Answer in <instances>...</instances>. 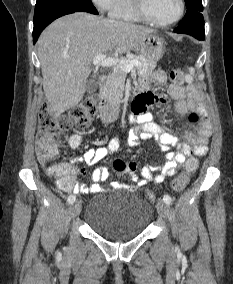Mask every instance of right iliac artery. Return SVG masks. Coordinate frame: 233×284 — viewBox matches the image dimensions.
Returning a JSON list of instances; mask_svg holds the SVG:
<instances>
[{
    "instance_id": "1",
    "label": "right iliac artery",
    "mask_w": 233,
    "mask_h": 284,
    "mask_svg": "<svg viewBox=\"0 0 233 284\" xmlns=\"http://www.w3.org/2000/svg\"><path fill=\"white\" fill-rule=\"evenodd\" d=\"M75 200H76V196H75V195H70V196H68V198H67V203H68V204H72V203L75 202Z\"/></svg>"
}]
</instances>
